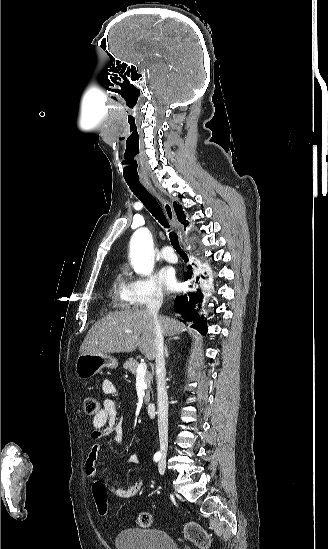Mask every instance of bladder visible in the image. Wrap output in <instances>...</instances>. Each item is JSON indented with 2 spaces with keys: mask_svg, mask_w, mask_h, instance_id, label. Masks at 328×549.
I'll return each mask as SVG.
<instances>
[{
  "mask_svg": "<svg viewBox=\"0 0 328 549\" xmlns=\"http://www.w3.org/2000/svg\"><path fill=\"white\" fill-rule=\"evenodd\" d=\"M117 549H176L174 540L160 530H127L116 535Z\"/></svg>",
  "mask_w": 328,
  "mask_h": 549,
  "instance_id": "obj_1",
  "label": "bladder"
}]
</instances>
